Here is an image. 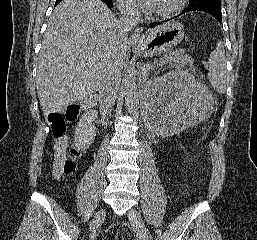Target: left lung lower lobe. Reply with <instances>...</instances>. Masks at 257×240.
I'll use <instances>...</instances> for the list:
<instances>
[{
    "mask_svg": "<svg viewBox=\"0 0 257 240\" xmlns=\"http://www.w3.org/2000/svg\"><path fill=\"white\" fill-rule=\"evenodd\" d=\"M190 11H203V12H206V13L212 15L220 24L222 22L221 7H201V8H197V9L186 8L179 15H182V14L190 12ZM179 15H177V16H179ZM161 23H163V22L161 21V22L150 23V27H155V26H157V25H159Z\"/></svg>",
    "mask_w": 257,
    "mask_h": 240,
    "instance_id": "left-lung-lower-lobe-1",
    "label": "left lung lower lobe"
}]
</instances>
